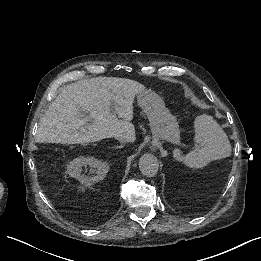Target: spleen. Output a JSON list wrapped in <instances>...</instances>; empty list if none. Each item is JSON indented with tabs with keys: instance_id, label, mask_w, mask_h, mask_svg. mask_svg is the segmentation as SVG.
<instances>
[{
	"instance_id": "3e777b00",
	"label": "spleen",
	"mask_w": 261,
	"mask_h": 261,
	"mask_svg": "<svg viewBox=\"0 0 261 261\" xmlns=\"http://www.w3.org/2000/svg\"><path fill=\"white\" fill-rule=\"evenodd\" d=\"M196 143L201 148L189 152L182 157L183 163L190 168H202L214 160L231 155V144L227 134L212 116L203 114L194 121Z\"/></svg>"
}]
</instances>
